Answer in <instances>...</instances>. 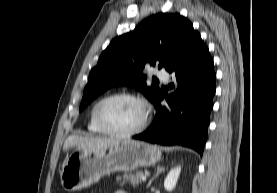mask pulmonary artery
<instances>
[{"label":"pulmonary artery","mask_w":277,"mask_h":193,"mask_svg":"<svg viewBox=\"0 0 277 193\" xmlns=\"http://www.w3.org/2000/svg\"><path fill=\"white\" fill-rule=\"evenodd\" d=\"M157 77L160 80L164 81V82H168V80H169V73L167 71H165V70H160V71L157 72Z\"/></svg>","instance_id":"e3ab8cb5"}]
</instances>
